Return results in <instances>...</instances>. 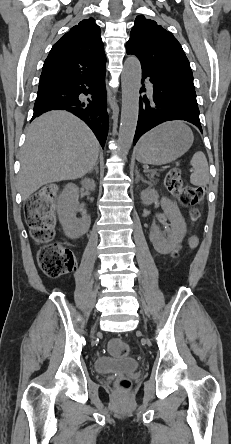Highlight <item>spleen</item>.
<instances>
[{
    "instance_id": "1",
    "label": "spleen",
    "mask_w": 231,
    "mask_h": 444,
    "mask_svg": "<svg viewBox=\"0 0 231 444\" xmlns=\"http://www.w3.org/2000/svg\"><path fill=\"white\" fill-rule=\"evenodd\" d=\"M193 172L190 175V182L196 186H204L209 181V168L206 156L203 152H196L190 161Z\"/></svg>"
}]
</instances>
